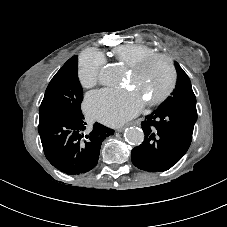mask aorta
Listing matches in <instances>:
<instances>
[{"label": "aorta", "instance_id": "762f6f07", "mask_svg": "<svg viewBox=\"0 0 227 227\" xmlns=\"http://www.w3.org/2000/svg\"><path fill=\"white\" fill-rule=\"evenodd\" d=\"M100 81L105 85H114L121 80L119 67L113 64L104 66L99 74ZM125 139L132 145H140L144 141V132L138 127H129L124 133Z\"/></svg>", "mask_w": 227, "mask_h": 227}]
</instances>
